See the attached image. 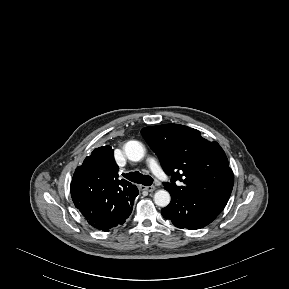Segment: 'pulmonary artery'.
<instances>
[{"mask_svg": "<svg viewBox=\"0 0 289 289\" xmlns=\"http://www.w3.org/2000/svg\"><path fill=\"white\" fill-rule=\"evenodd\" d=\"M148 165L151 169V171L161 180H165L166 179V175L163 171V169L161 168L159 162L157 161L156 158L154 157H150L148 159Z\"/></svg>", "mask_w": 289, "mask_h": 289, "instance_id": "1", "label": "pulmonary artery"}]
</instances>
